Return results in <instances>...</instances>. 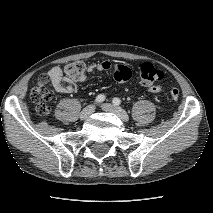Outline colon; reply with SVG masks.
<instances>
[{"instance_id": "colon-1", "label": "colon", "mask_w": 213, "mask_h": 213, "mask_svg": "<svg viewBox=\"0 0 213 213\" xmlns=\"http://www.w3.org/2000/svg\"><path fill=\"white\" fill-rule=\"evenodd\" d=\"M64 71L70 79L81 81L87 77L90 68L83 61H73L65 66ZM112 71L115 80L120 83L127 82L132 77L131 69L123 64L114 66ZM137 77L140 84L151 87L163 80L164 73L152 63L144 62L138 68ZM169 93L173 100L179 98V90L177 88H171ZM31 97L40 114L46 115L50 112L49 101L51 94L47 88V79L44 76L39 79L37 85L32 89Z\"/></svg>"}]
</instances>
